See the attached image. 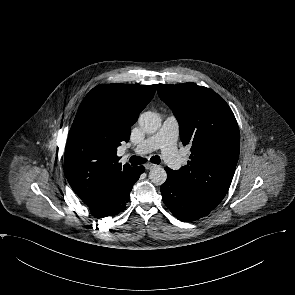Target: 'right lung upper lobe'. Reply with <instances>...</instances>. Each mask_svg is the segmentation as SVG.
Wrapping results in <instances>:
<instances>
[{
  "instance_id": "cb5924a9",
  "label": "right lung upper lobe",
  "mask_w": 295,
  "mask_h": 295,
  "mask_svg": "<svg viewBox=\"0 0 295 295\" xmlns=\"http://www.w3.org/2000/svg\"><path fill=\"white\" fill-rule=\"evenodd\" d=\"M157 85L108 84L93 91H102L109 100L110 112L95 120L86 112L87 95L82 101L65 147V176L74 192L85 203L105 183L131 168L122 166L117 147L127 142L131 126L151 101Z\"/></svg>"
}]
</instances>
